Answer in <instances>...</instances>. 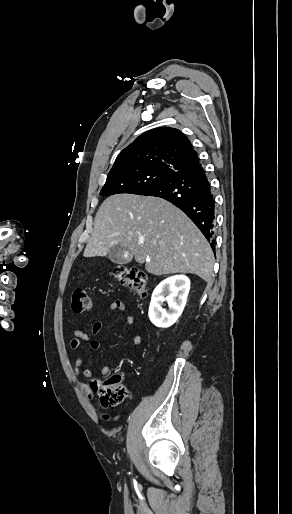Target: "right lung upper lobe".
I'll return each mask as SVG.
<instances>
[{"label": "right lung upper lobe", "instance_id": "cb5924a9", "mask_svg": "<svg viewBox=\"0 0 292 514\" xmlns=\"http://www.w3.org/2000/svg\"><path fill=\"white\" fill-rule=\"evenodd\" d=\"M199 164L197 153L179 130L161 127L138 136L117 156L107 177L143 172H176Z\"/></svg>", "mask_w": 292, "mask_h": 514}]
</instances>
